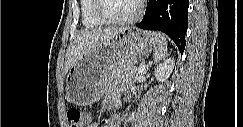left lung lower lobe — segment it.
I'll return each mask as SVG.
<instances>
[{"label":"left lung lower lobe","instance_id":"left-lung-lower-lobe-1","mask_svg":"<svg viewBox=\"0 0 243 127\" xmlns=\"http://www.w3.org/2000/svg\"><path fill=\"white\" fill-rule=\"evenodd\" d=\"M188 7L189 0H149L146 14L137 27L166 33L182 54L188 27Z\"/></svg>","mask_w":243,"mask_h":127}]
</instances>
